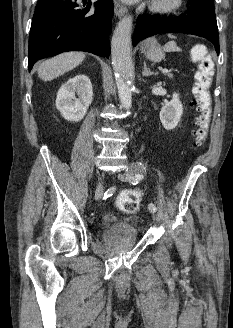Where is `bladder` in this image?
I'll use <instances>...</instances> for the list:
<instances>
[{
    "label": "bladder",
    "instance_id": "1",
    "mask_svg": "<svg viewBox=\"0 0 233 328\" xmlns=\"http://www.w3.org/2000/svg\"><path fill=\"white\" fill-rule=\"evenodd\" d=\"M123 232H124V234L130 236L131 241H132L133 243L136 242V240H137V236H136L135 231H134L132 228H126V229H123Z\"/></svg>",
    "mask_w": 233,
    "mask_h": 328
}]
</instances>
